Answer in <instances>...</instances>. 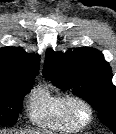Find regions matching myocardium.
<instances>
[{"mask_svg":"<svg viewBox=\"0 0 116 134\" xmlns=\"http://www.w3.org/2000/svg\"><path fill=\"white\" fill-rule=\"evenodd\" d=\"M64 108L70 119L80 127L90 124L94 117L92 106L82 97H65Z\"/></svg>","mask_w":116,"mask_h":134,"instance_id":"myocardium-1","label":"myocardium"}]
</instances>
